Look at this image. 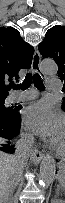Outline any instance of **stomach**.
Masks as SVG:
<instances>
[{"mask_svg":"<svg viewBox=\"0 0 65 203\" xmlns=\"http://www.w3.org/2000/svg\"><path fill=\"white\" fill-rule=\"evenodd\" d=\"M59 181L62 185L65 183V171L62 170L61 174L59 175Z\"/></svg>","mask_w":65,"mask_h":203,"instance_id":"obj_1","label":"stomach"}]
</instances>
